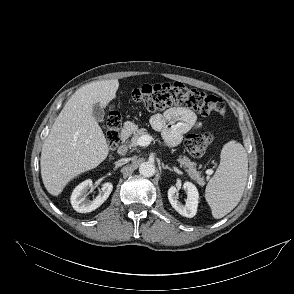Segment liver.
<instances>
[{
  "label": "liver",
  "mask_w": 294,
  "mask_h": 294,
  "mask_svg": "<svg viewBox=\"0 0 294 294\" xmlns=\"http://www.w3.org/2000/svg\"><path fill=\"white\" fill-rule=\"evenodd\" d=\"M119 81L103 80L79 88L56 118L41 151V176L46 190L58 196L78 175L103 162L109 148L92 115L94 104L103 108L115 99Z\"/></svg>",
  "instance_id": "liver-1"
}]
</instances>
